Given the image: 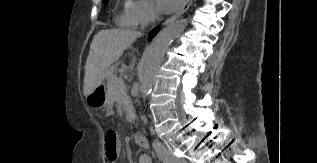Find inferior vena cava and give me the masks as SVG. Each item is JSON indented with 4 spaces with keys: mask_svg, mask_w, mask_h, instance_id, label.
Segmentation results:
<instances>
[{
    "mask_svg": "<svg viewBox=\"0 0 317 163\" xmlns=\"http://www.w3.org/2000/svg\"><path fill=\"white\" fill-rule=\"evenodd\" d=\"M154 18L158 19V15H154ZM152 146L159 158H164L169 155V152L166 149V147L162 145L160 142L154 141Z\"/></svg>",
    "mask_w": 317,
    "mask_h": 163,
    "instance_id": "602c4592",
    "label": "inferior vena cava"
}]
</instances>
